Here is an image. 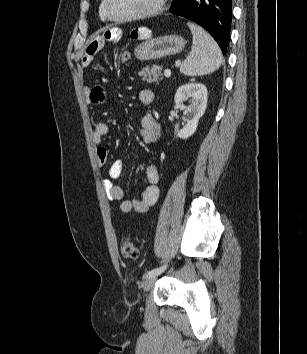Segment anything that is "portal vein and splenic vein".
Returning <instances> with one entry per match:
<instances>
[{"label":"portal vein and splenic vein","mask_w":307,"mask_h":354,"mask_svg":"<svg viewBox=\"0 0 307 354\" xmlns=\"http://www.w3.org/2000/svg\"><path fill=\"white\" fill-rule=\"evenodd\" d=\"M170 75H171L170 69H165V71H164V76H165V77H170Z\"/></svg>","instance_id":"18ae733b"}]
</instances>
